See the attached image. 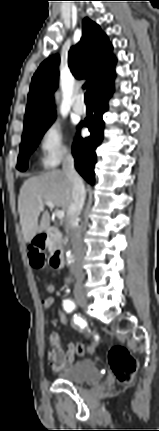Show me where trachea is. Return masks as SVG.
Wrapping results in <instances>:
<instances>
[{"mask_svg":"<svg viewBox=\"0 0 159 431\" xmlns=\"http://www.w3.org/2000/svg\"><path fill=\"white\" fill-rule=\"evenodd\" d=\"M85 103L87 105H92L93 104V91L92 90H88L85 93Z\"/></svg>","mask_w":159,"mask_h":431,"instance_id":"obj_1","label":"trachea"}]
</instances>
